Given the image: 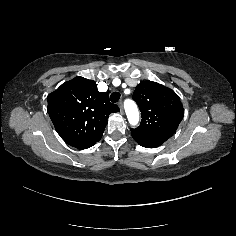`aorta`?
<instances>
[{
  "instance_id": "aorta-1",
  "label": "aorta",
  "mask_w": 236,
  "mask_h": 236,
  "mask_svg": "<svg viewBox=\"0 0 236 236\" xmlns=\"http://www.w3.org/2000/svg\"><path fill=\"white\" fill-rule=\"evenodd\" d=\"M123 108L129 125L136 127L140 122V113L135 101L131 98H125L123 100Z\"/></svg>"
}]
</instances>
